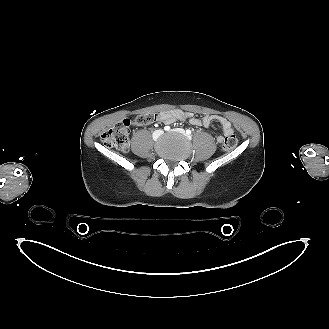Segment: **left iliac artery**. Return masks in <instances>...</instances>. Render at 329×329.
Returning a JSON list of instances; mask_svg holds the SVG:
<instances>
[{
    "mask_svg": "<svg viewBox=\"0 0 329 329\" xmlns=\"http://www.w3.org/2000/svg\"><path fill=\"white\" fill-rule=\"evenodd\" d=\"M191 130L190 129H188V130H186V134L189 136V135H191Z\"/></svg>",
    "mask_w": 329,
    "mask_h": 329,
    "instance_id": "obj_1",
    "label": "left iliac artery"
}]
</instances>
